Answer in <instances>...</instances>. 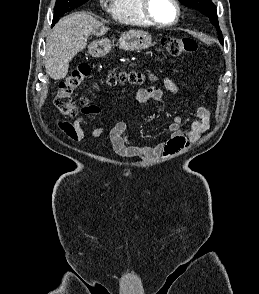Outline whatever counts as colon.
<instances>
[{
    "label": "colon",
    "mask_w": 259,
    "mask_h": 294,
    "mask_svg": "<svg viewBox=\"0 0 259 294\" xmlns=\"http://www.w3.org/2000/svg\"><path fill=\"white\" fill-rule=\"evenodd\" d=\"M162 46L171 56H180L182 54L192 53L197 50V42L191 38L165 37L161 40ZM90 74V68L87 65L80 66L73 70L66 79L59 85L55 97V106L59 112L66 117H75L87 107L84 99L77 103L73 99V93L80 87L83 80ZM151 78H154V76ZM145 80V75L141 72L130 71L127 73L111 74L107 82L111 85L117 83L141 84Z\"/></svg>",
    "instance_id": "colon-1"
}]
</instances>
